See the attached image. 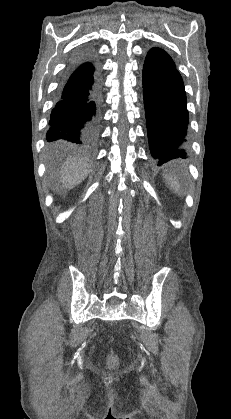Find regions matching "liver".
<instances>
[{
	"label": "liver",
	"instance_id": "6515ba94",
	"mask_svg": "<svg viewBox=\"0 0 231 419\" xmlns=\"http://www.w3.org/2000/svg\"><path fill=\"white\" fill-rule=\"evenodd\" d=\"M87 164L82 159L72 158L65 162L61 172V184L64 190H70L80 184L88 175Z\"/></svg>",
	"mask_w": 231,
	"mask_h": 419
}]
</instances>
